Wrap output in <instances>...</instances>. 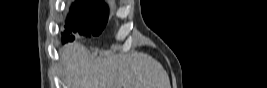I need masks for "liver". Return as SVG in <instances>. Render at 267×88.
I'll return each instance as SVG.
<instances>
[{
	"label": "liver",
	"instance_id": "liver-1",
	"mask_svg": "<svg viewBox=\"0 0 267 88\" xmlns=\"http://www.w3.org/2000/svg\"><path fill=\"white\" fill-rule=\"evenodd\" d=\"M67 88H171L168 74L144 53L93 58L80 43L60 50Z\"/></svg>",
	"mask_w": 267,
	"mask_h": 88
}]
</instances>
